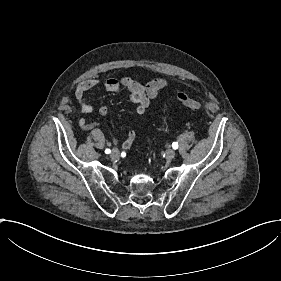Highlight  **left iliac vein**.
Here are the masks:
<instances>
[{
  "label": "left iliac vein",
  "instance_id": "left-iliac-vein-1",
  "mask_svg": "<svg viewBox=\"0 0 281 281\" xmlns=\"http://www.w3.org/2000/svg\"><path fill=\"white\" fill-rule=\"evenodd\" d=\"M165 154L167 158L172 159L175 156V151L173 149H167L165 150Z\"/></svg>",
  "mask_w": 281,
  "mask_h": 281
}]
</instances>
